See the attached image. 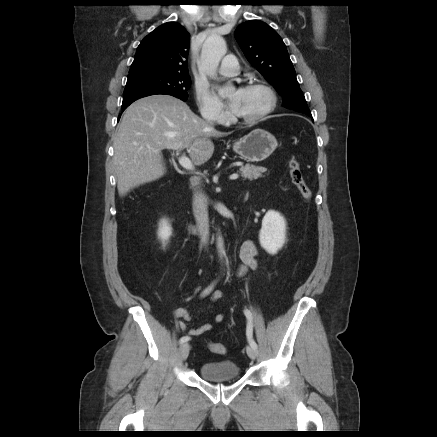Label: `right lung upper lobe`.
Returning a JSON list of instances; mask_svg holds the SVG:
<instances>
[{
  "mask_svg": "<svg viewBox=\"0 0 437 437\" xmlns=\"http://www.w3.org/2000/svg\"><path fill=\"white\" fill-rule=\"evenodd\" d=\"M188 53L189 33L182 25L167 22L141 41L129 72L159 71L187 75Z\"/></svg>",
  "mask_w": 437,
  "mask_h": 437,
  "instance_id": "right-lung-upper-lobe-1",
  "label": "right lung upper lobe"
}]
</instances>
